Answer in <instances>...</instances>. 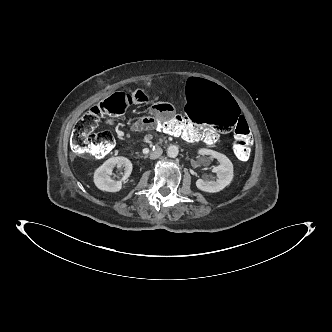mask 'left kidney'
I'll list each match as a JSON object with an SVG mask.
<instances>
[{
    "label": "left kidney",
    "mask_w": 332,
    "mask_h": 332,
    "mask_svg": "<svg viewBox=\"0 0 332 332\" xmlns=\"http://www.w3.org/2000/svg\"><path fill=\"white\" fill-rule=\"evenodd\" d=\"M200 155L205 156L203 162L207 163L212 159H217L219 165L212 169V172L217 174L216 180L204 181L203 179H198L196 181V186L199 190L209 193H215L223 190L228 186L233 179V164L224 154L219 152L200 149L198 152Z\"/></svg>",
    "instance_id": "left-kidney-1"
}]
</instances>
